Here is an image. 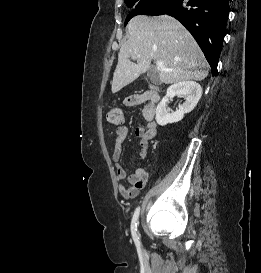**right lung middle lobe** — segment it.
Masks as SVG:
<instances>
[{
    "mask_svg": "<svg viewBox=\"0 0 261 273\" xmlns=\"http://www.w3.org/2000/svg\"><path fill=\"white\" fill-rule=\"evenodd\" d=\"M170 0H125L126 5L132 8L133 11L128 15L125 24L134 16L145 14L151 9L163 5Z\"/></svg>",
    "mask_w": 261,
    "mask_h": 273,
    "instance_id": "right-lung-middle-lobe-1",
    "label": "right lung middle lobe"
}]
</instances>
